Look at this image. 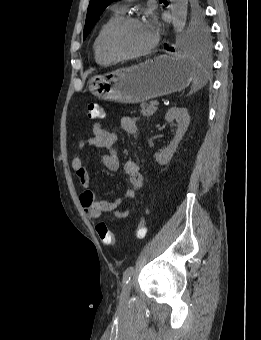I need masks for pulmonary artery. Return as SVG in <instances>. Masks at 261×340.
Returning a JSON list of instances; mask_svg holds the SVG:
<instances>
[{
    "label": "pulmonary artery",
    "instance_id": "obj_1",
    "mask_svg": "<svg viewBox=\"0 0 261 340\" xmlns=\"http://www.w3.org/2000/svg\"><path fill=\"white\" fill-rule=\"evenodd\" d=\"M130 1V0H129ZM114 9L115 11H118V12H124L125 11V5L123 4H117L114 6Z\"/></svg>",
    "mask_w": 261,
    "mask_h": 340
}]
</instances>
